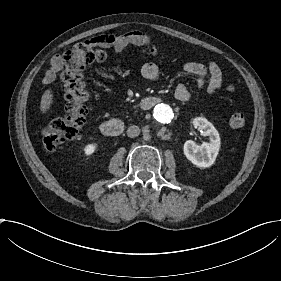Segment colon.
<instances>
[{
  "label": "colon",
  "instance_id": "colon-1",
  "mask_svg": "<svg viewBox=\"0 0 281 281\" xmlns=\"http://www.w3.org/2000/svg\"><path fill=\"white\" fill-rule=\"evenodd\" d=\"M103 38L80 43L73 51L63 55L65 68L61 77L65 88V102L60 115L46 127L42 137V144L49 152H56L65 142L79 137L87 126L89 95L84 70L89 64L104 61L111 53H116L114 47L104 45ZM149 54L152 58L159 59L163 56L164 49L157 42L150 47ZM230 124L241 128L246 124V116L242 112H233Z\"/></svg>",
  "mask_w": 281,
  "mask_h": 281
}]
</instances>
